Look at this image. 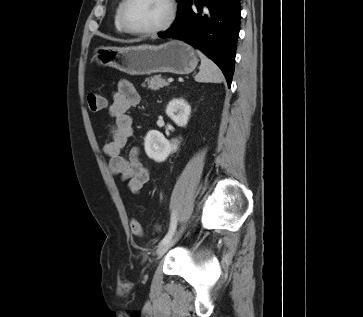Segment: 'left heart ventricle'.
Here are the masks:
<instances>
[{
	"mask_svg": "<svg viewBox=\"0 0 363 317\" xmlns=\"http://www.w3.org/2000/svg\"><path fill=\"white\" fill-rule=\"evenodd\" d=\"M168 15L165 0H132L127 8V21L134 29H152L161 25Z\"/></svg>",
	"mask_w": 363,
	"mask_h": 317,
	"instance_id": "b2bd125f",
	"label": "left heart ventricle"
}]
</instances>
